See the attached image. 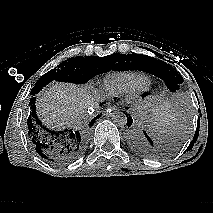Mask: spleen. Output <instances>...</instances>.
<instances>
[{"instance_id":"spleen-1","label":"spleen","mask_w":213,"mask_h":213,"mask_svg":"<svg viewBox=\"0 0 213 213\" xmlns=\"http://www.w3.org/2000/svg\"><path fill=\"white\" fill-rule=\"evenodd\" d=\"M168 114L167 113H159L157 115V120L159 123L167 122L168 121Z\"/></svg>"}]
</instances>
